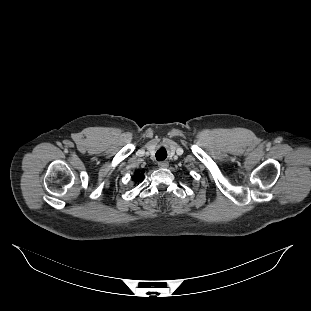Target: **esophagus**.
I'll list each match as a JSON object with an SVG mask.
<instances>
[{
  "instance_id": "1",
  "label": "esophagus",
  "mask_w": 311,
  "mask_h": 311,
  "mask_svg": "<svg viewBox=\"0 0 311 311\" xmlns=\"http://www.w3.org/2000/svg\"><path fill=\"white\" fill-rule=\"evenodd\" d=\"M158 166L160 168H164L165 169V168H168L169 163L167 161H161V162L158 163Z\"/></svg>"
}]
</instances>
